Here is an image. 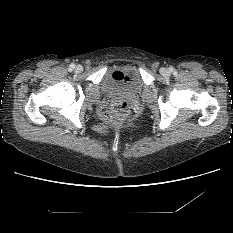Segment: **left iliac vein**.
I'll list each match as a JSON object with an SVG mask.
<instances>
[{
	"label": "left iliac vein",
	"mask_w": 233,
	"mask_h": 233,
	"mask_svg": "<svg viewBox=\"0 0 233 233\" xmlns=\"http://www.w3.org/2000/svg\"><path fill=\"white\" fill-rule=\"evenodd\" d=\"M160 72H161V74L164 75V76H165V75H168V70H167L166 68H162Z\"/></svg>",
	"instance_id": "obj_1"
}]
</instances>
